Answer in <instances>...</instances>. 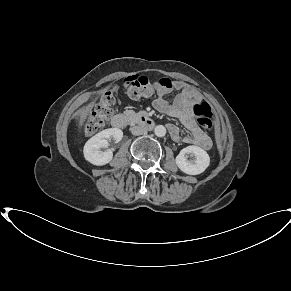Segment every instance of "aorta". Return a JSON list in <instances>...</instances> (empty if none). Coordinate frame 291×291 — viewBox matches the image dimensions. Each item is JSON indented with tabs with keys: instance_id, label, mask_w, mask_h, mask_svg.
<instances>
[{
	"instance_id": "aorta-1",
	"label": "aorta",
	"mask_w": 291,
	"mask_h": 291,
	"mask_svg": "<svg viewBox=\"0 0 291 291\" xmlns=\"http://www.w3.org/2000/svg\"><path fill=\"white\" fill-rule=\"evenodd\" d=\"M154 133L158 137H163L166 134V128L163 125H158L154 129Z\"/></svg>"
}]
</instances>
